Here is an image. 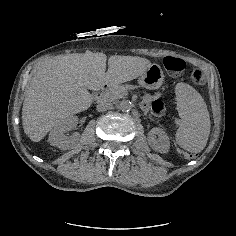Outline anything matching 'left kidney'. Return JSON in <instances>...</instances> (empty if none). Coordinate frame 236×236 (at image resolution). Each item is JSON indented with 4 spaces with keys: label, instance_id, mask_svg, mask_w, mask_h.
<instances>
[{
    "label": "left kidney",
    "instance_id": "1",
    "mask_svg": "<svg viewBox=\"0 0 236 236\" xmlns=\"http://www.w3.org/2000/svg\"><path fill=\"white\" fill-rule=\"evenodd\" d=\"M158 136V139H156ZM148 143L150 147L160 153H167L170 148L169 137L161 128H152L148 133Z\"/></svg>",
    "mask_w": 236,
    "mask_h": 236
}]
</instances>
